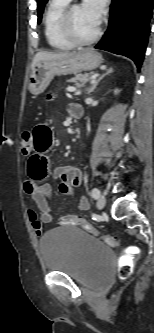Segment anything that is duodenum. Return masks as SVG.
<instances>
[{"instance_id": "duodenum-1", "label": "duodenum", "mask_w": 154, "mask_h": 333, "mask_svg": "<svg viewBox=\"0 0 154 333\" xmlns=\"http://www.w3.org/2000/svg\"><path fill=\"white\" fill-rule=\"evenodd\" d=\"M72 116L75 119H81L83 117V110H82V108L74 109L73 112H72Z\"/></svg>"}]
</instances>
